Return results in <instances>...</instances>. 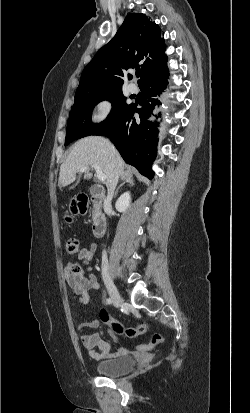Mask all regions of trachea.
I'll return each mask as SVG.
<instances>
[{"mask_svg":"<svg viewBox=\"0 0 250 413\" xmlns=\"http://www.w3.org/2000/svg\"><path fill=\"white\" fill-rule=\"evenodd\" d=\"M140 76V71H136V77Z\"/></svg>","mask_w":250,"mask_h":413,"instance_id":"1","label":"trachea"}]
</instances>
